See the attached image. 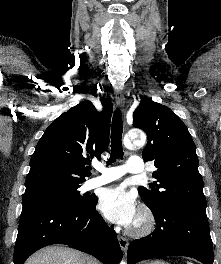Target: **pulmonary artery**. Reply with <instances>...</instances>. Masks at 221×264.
<instances>
[{"label":"pulmonary artery","instance_id":"e3ab8cb5","mask_svg":"<svg viewBox=\"0 0 221 264\" xmlns=\"http://www.w3.org/2000/svg\"><path fill=\"white\" fill-rule=\"evenodd\" d=\"M99 175L85 182L86 189H93L121 178L126 173L139 174L143 171V163L139 157H130L123 166L99 167Z\"/></svg>","mask_w":221,"mask_h":264}]
</instances>
